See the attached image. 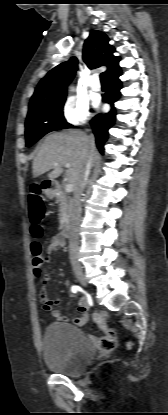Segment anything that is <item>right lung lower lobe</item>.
Segmentation results:
<instances>
[{
	"mask_svg": "<svg viewBox=\"0 0 168 415\" xmlns=\"http://www.w3.org/2000/svg\"><path fill=\"white\" fill-rule=\"evenodd\" d=\"M121 70L109 76V89L103 95V101L111 105V110L107 114H98L91 120L93 132L96 137V145L99 151L104 153V144L108 138V129L114 125L116 119V109L114 102L120 97V89L122 88L119 76Z\"/></svg>",
	"mask_w": 168,
	"mask_h": 415,
	"instance_id": "right-lung-lower-lobe-1",
	"label": "right lung lower lobe"
}]
</instances>
